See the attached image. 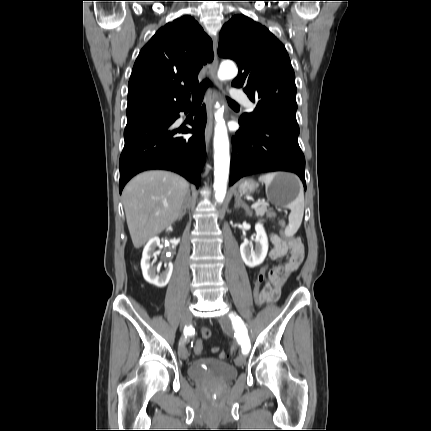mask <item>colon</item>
<instances>
[{
	"label": "colon",
	"instance_id": "obj_1",
	"mask_svg": "<svg viewBox=\"0 0 431 431\" xmlns=\"http://www.w3.org/2000/svg\"><path fill=\"white\" fill-rule=\"evenodd\" d=\"M270 215H271V217H276V214L274 212L270 213ZM277 225L281 231L280 237H284L285 226H286L285 219L282 217L277 218ZM266 272H267V267L261 266L260 272L257 274V276H255L253 278L251 300L254 301V304L256 307L259 305L258 301L261 299L260 294L262 291V284L265 282V278H266L265 273ZM261 310L262 309L259 307L258 311L260 312ZM211 335H212V331L208 327H204L201 330V337L203 339H208L211 337ZM201 337H194L193 338V343L195 344L194 351H195L196 355L202 354L203 345H202V338ZM226 357H227V354L225 352L220 353L221 359H225Z\"/></svg>",
	"mask_w": 431,
	"mask_h": 431
}]
</instances>
